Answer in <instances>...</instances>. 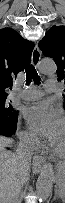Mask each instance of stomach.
Listing matches in <instances>:
<instances>
[{
    "instance_id": "stomach-1",
    "label": "stomach",
    "mask_w": 65,
    "mask_h": 203,
    "mask_svg": "<svg viewBox=\"0 0 65 203\" xmlns=\"http://www.w3.org/2000/svg\"><path fill=\"white\" fill-rule=\"evenodd\" d=\"M58 191L61 198L65 197V168H60L58 171Z\"/></svg>"
}]
</instances>
